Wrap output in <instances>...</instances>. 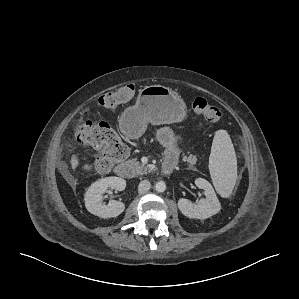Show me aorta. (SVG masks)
<instances>
[{
    "label": "aorta",
    "instance_id": "aorta-1",
    "mask_svg": "<svg viewBox=\"0 0 299 299\" xmlns=\"http://www.w3.org/2000/svg\"><path fill=\"white\" fill-rule=\"evenodd\" d=\"M155 190L157 192H164L166 190V184L163 181H159L155 184Z\"/></svg>",
    "mask_w": 299,
    "mask_h": 299
}]
</instances>
